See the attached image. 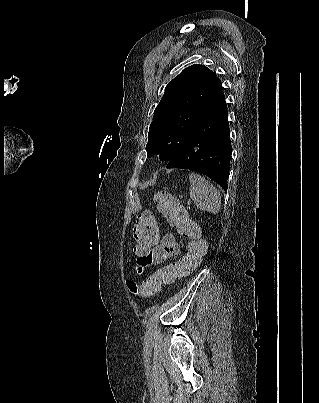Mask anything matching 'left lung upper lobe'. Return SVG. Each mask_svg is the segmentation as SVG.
<instances>
[{"label": "left lung upper lobe", "instance_id": "5c2ea615", "mask_svg": "<svg viewBox=\"0 0 319 403\" xmlns=\"http://www.w3.org/2000/svg\"><path fill=\"white\" fill-rule=\"evenodd\" d=\"M222 92L221 81L204 65L185 68L172 79L149 128L147 156L169 162L178 154L207 108Z\"/></svg>", "mask_w": 319, "mask_h": 403}]
</instances>
